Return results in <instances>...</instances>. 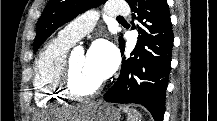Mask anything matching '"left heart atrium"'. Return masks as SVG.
<instances>
[{
	"label": "left heart atrium",
	"instance_id": "obj_1",
	"mask_svg": "<svg viewBox=\"0 0 217 121\" xmlns=\"http://www.w3.org/2000/svg\"><path fill=\"white\" fill-rule=\"evenodd\" d=\"M86 58L101 80L109 77L118 64L116 48L113 44L105 40H100L92 44Z\"/></svg>",
	"mask_w": 217,
	"mask_h": 121
}]
</instances>
